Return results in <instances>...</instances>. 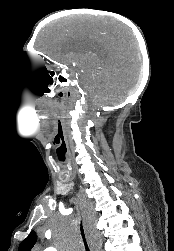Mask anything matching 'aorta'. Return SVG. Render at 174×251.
Here are the masks:
<instances>
[{
    "mask_svg": "<svg viewBox=\"0 0 174 251\" xmlns=\"http://www.w3.org/2000/svg\"><path fill=\"white\" fill-rule=\"evenodd\" d=\"M44 251H57V249L54 247H49V248L45 249Z\"/></svg>",
    "mask_w": 174,
    "mask_h": 251,
    "instance_id": "762f6f07",
    "label": "aorta"
}]
</instances>
